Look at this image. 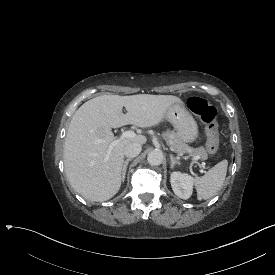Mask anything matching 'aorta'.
Segmentation results:
<instances>
[{"label": "aorta", "mask_w": 275, "mask_h": 275, "mask_svg": "<svg viewBox=\"0 0 275 275\" xmlns=\"http://www.w3.org/2000/svg\"><path fill=\"white\" fill-rule=\"evenodd\" d=\"M148 163L150 165H160L163 161V153L160 150H153L148 154Z\"/></svg>", "instance_id": "obj_1"}]
</instances>
